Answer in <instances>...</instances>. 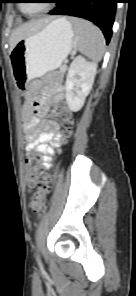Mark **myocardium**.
I'll return each instance as SVG.
<instances>
[{"label": "myocardium", "mask_w": 136, "mask_h": 296, "mask_svg": "<svg viewBox=\"0 0 136 296\" xmlns=\"http://www.w3.org/2000/svg\"><path fill=\"white\" fill-rule=\"evenodd\" d=\"M20 7L22 9V11L30 16H34L36 15L37 13H40V12H43L45 10H48L49 8H45L43 10H40V11H37V12H30L27 8H26V5L24 3L20 4Z\"/></svg>", "instance_id": "myocardium-1"}]
</instances>
